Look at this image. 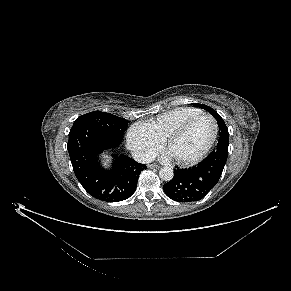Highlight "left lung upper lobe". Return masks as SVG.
Returning a JSON list of instances; mask_svg holds the SVG:
<instances>
[{"label": "left lung upper lobe", "instance_id": "1", "mask_svg": "<svg viewBox=\"0 0 291 291\" xmlns=\"http://www.w3.org/2000/svg\"><path fill=\"white\" fill-rule=\"evenodd\" d=\"M193 105L209 111V113L217 119L218 126H219L220 138H224L226 140L229 139L228 128L226 127L224 120L221 118V116L214 109H212L211 107L204 105V104H193Z\"/></svg>", "mask_w": 291, "mask_h": 291}]
</instances>
